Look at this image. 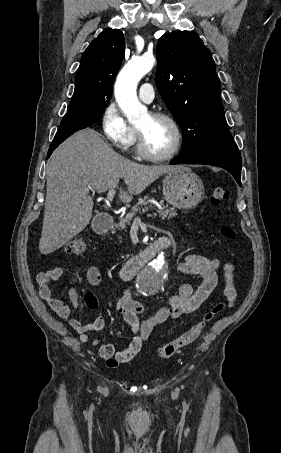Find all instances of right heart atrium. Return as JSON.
I'll list each match as a JSON object with an SVG mask.
<instances>
[{"label":"right heart atrium","instance_id":"d8ad5b80","mask_svg":"<svg viewBox=\"0 0 281 453\" xmlns=\"http://www.w3.org/2000/svg\"><path fill=\"white\" fill-rule=\"evenodd\" d=\"M129 86L128 81H123L119 84L116 81V98L118 95L123 99H127L130 92ZM101 127L105 136L118 147L124 145L131 133V126L127 123L125 117L114 102L104 108L101 115ZM110 158L114 168L119 170L121 168L122 157L116 152H111Z\"/></svg>","mask_w":281,"mask_h":453}]
</instances>
